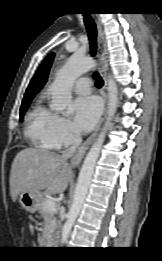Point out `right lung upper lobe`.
I'll list each match as a JSON object with an SVG mask.
<instances>
[{"label": "right lung upper lobe", "mask_w": 162, "mask_h": 261, "mask_svg": "<svg viewBox=\"0 0 162 261\" xmlns=\"http://www.w3.org/2000/svg\"><path fill=\"white\" fill-rule=\"evenodd\" d=\"M54 58V53H51L43 61L39 69L37 70L35 76L30 81L28 88L26 89L24 101L32 100L35 94H37L44 86L47 81L48 73Z\"/></svg>", "instance_id": "cb5924a9"}]
</instances>
